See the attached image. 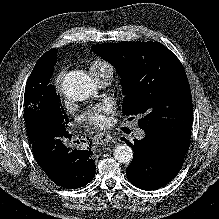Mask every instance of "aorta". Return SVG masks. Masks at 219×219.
Masks as SVG:
<instances>
[{"mask_svg":"<svg viewBox=\"0 0 219 219\" xmlns=\"http://www.w3.org/2000/svg\"><path fill=\"white\" fill-rule=\"evenodd\" d=\"M62 90L67 98L74 101H83L94 94L95 85L87 74L73 72L63 80ZM113 155L119 163L128 164L132 161L133 151L127 144H118L114 148Z\"/></svg>","mask_w":219,"mask_h":219,"instance_id":"obj_1","label":"aorta"}]
</instances>
